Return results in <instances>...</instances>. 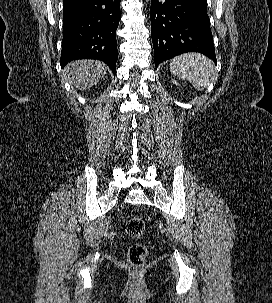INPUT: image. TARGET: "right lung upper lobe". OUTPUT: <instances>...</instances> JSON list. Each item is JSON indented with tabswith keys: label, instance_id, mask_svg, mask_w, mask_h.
Here are the masks:
<instances>
[{
	"label": "right lung upper lobe",
	"instance_id": "1",
	"mask_svg": "<svg viewBox=\"0 0 272 303\" xmlns=\"http://www.w3.org/2000/svg\"><path fill=\"white\" fill-rule=\"evenodd\" d=\"M75 1H77V0H64L63 5H67V4L73 3Z\"/></svg>",
	"mask_w": 272,
	"mask_h": 303
}]
</instances>
